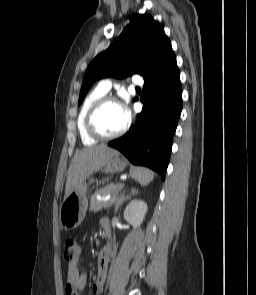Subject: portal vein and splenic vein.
<instances>
[{
    "label": "portal vein and splenic vein",
    "instance_id": "1",
    "mask_svg": "<svg viewBox=\"0 0 256 295\" xmlns=\"http://www.w3.org/2000/svg\"><path fill=\"white\" fill-rule=\"evenodd\" d=\"M122 185L124 186V184H122ZM109 201H110V205L114 203V199H112V197L109 198Z\"/></svg>",
    "mask_w": 256,
    "mask_h": 295
}]
</instances>
